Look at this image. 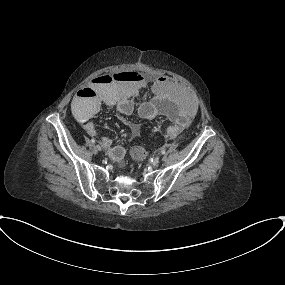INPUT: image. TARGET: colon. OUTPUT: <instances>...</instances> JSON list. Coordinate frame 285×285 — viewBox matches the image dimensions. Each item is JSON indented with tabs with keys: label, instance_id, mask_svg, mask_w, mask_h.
<instances>
[{
	"label": "colon",
	"instance_id": "1",
	"mask_svg": "<svg viewBox=\"0 0 285 285\" xmlns=\"http://www.w3.org/2000/svg\"><path fill=\"white\" fill-rule=\"evenodd\" d=\"M137 73H130V72H126L123 74H120L118 77L121 79H125V80H129V81H136L138 79V75H136ZM90 96L88 97L89 100L93 101L95 99V95L94 94H89ZM145 156V152L144 149L140 146H134L132 148V157L134 159L137 160H141L143 159V157Z\"/></svg>",
	"mask_w": 285,
	"mask_h": 285
}]
</instances>
